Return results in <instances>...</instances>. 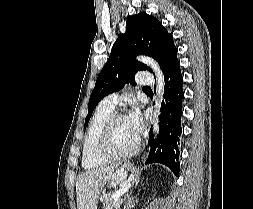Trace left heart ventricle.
Listing matches in <instances>:
<instances>
[{"label":"left heart ventricle","instance_id":"obj_1","mask_svg":"<svg viewBox=\"0 0 253 209\" xmlns=\"http://www.w3.org/2000/svg\"><path fill=\"white\" fill-rule=\"evenodd\" d=\"M136 141L137 137L133 134L126 118L119 119L112 128L111 149L116 153L127 152Z\"/></svg>","mask_w":253,"mask_h":209}]
</instances>
